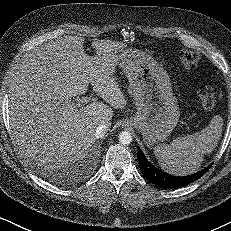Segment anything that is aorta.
I'll use <instances>...</instances> for the list:
<instances>
[{
    "label": "aorta",
    "instance_id": "762f6f07",
    "mask_svg": "<svg viewBox=\"0 0 231 231\" xmlns=\"http://www.w3.org/2000/svg\"><path fill=\"white\" fill-rule=\"evenodd\" d=\"M119 141L124 144V145H128L132 142V135L130 132L128 131H122L119 134Z\"/></svg>",
    "mask_w": 231,
    "mask_h": 231
}]
</instances>
